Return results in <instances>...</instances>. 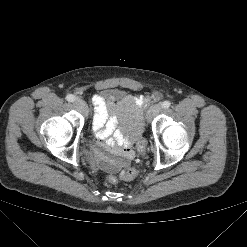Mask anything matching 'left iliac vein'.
<instances>
[{"label":"left iliac vein","instance_id":"obj_1","mask_svg":"<svg viewBox=\"0 0 247 247\" xmlns=\"http://www.w3.org/2000/svg\"><path fill=\"white\" fill-rule=\"evenodd\" d=\"M161 111V106L159 104H155L150 107V109L147 111L146 119L151 120L153 117H155L159 112Z\"/></svg>","mask_w":247,"mask_h":247}]
</instances>
